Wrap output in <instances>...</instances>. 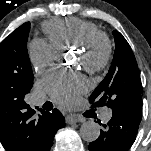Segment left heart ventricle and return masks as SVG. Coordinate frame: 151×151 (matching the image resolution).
I'll use <instances>...</instances> for the list:
<instances>
[{
	"label": "left heart ventricle",
	"mask_w": 151,
	"mask_h": 151,
	"mask_svg": "<svg viewBox=\"0 0 151 151\" xmlns=\"http://www.w3.org/2000/svg\"><path fill=\"white\" fill-rule=\"evenodd\" d=\"M83 61H84L83 55L81 53L78 54L77 63L80 64V65H82Z\"/></svg>",
	"instance_id": "1"
}]
</instances>
